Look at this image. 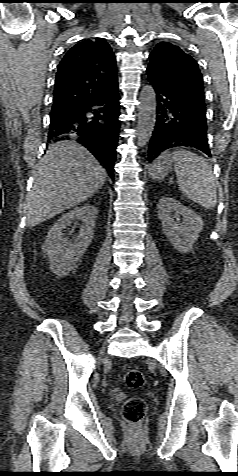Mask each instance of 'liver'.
<instances>
[{"instance_id": "6515ba94", "label": "liver", "mask_w": 238, "mask_h": 476, "mask_svg": "<svg viewBox=\"0 0 238 476\" xmlns=\"http://www.w3.org/2000/svg\"><path fill=\"white\" fill-rule=\"evenodd\" d=\"M33 176L25 205L29 227L87 200L102 187L107 172L81 144L64 140L48 148Z\"/></svg>"}]
</instances>
